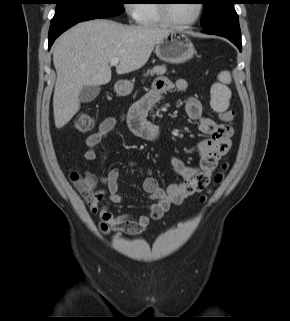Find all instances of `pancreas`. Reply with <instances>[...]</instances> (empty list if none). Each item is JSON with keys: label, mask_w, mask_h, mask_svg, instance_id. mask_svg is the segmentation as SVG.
<instances>
[{"label": "pancreas", "mask_w": 290, "mask_h": 321, "mask_svg": "<svg viewBox=\"0 0 290 321\" xmlns=\"http://www.w3.org/2000/svg\"><path fill=\"white\" fill-rule=\"evenodd\" d=\"M166 72V66L163 65V66H156L154 67L152 70H149L147 72V75L150 74V75H153V74H164Z\"/></svg>", "instance_id": "cf45deb5"}]
</instances>
